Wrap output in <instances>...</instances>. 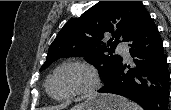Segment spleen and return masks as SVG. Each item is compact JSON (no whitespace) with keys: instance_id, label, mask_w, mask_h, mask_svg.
Here are the masks:
<instances>
[{"instance_id":"obj_1","label":"spleen","mask_w":171,"mask_h":110,"mask_svg":"<svg viewBox=\"0 0 171 110\" xmlns=\"http://www.w3.org/2000/svg\"><path fill=\"white\" fill-rule=\"evenodd\" d=\"M125 110H141V107L136 103L125 100L124 102Z\"/></svg>"}]
</instances>
